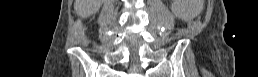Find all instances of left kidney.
Segmentation results:
<instances>
[{"mask_svg":"<svg viewBox=\"0 0 258 77\" xmlns=\"http://www.w3.org/2000/svg\"><path fill=\"white\" fill-rule=\"evenodd\" d=\"M176 6L173 8V13L182 20L192 19L194 17V11L189 5L188 0H176L174 1Z\"/></svg>","mask_w":258,"mask_h":77,"instance_id":"1","label":"left kidney"}]
</instances>
